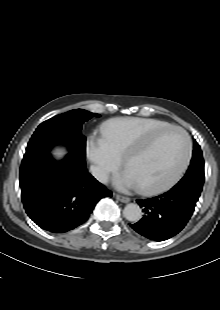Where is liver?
Returning <instances> with one entry per match:
<instances>
[{"label":"liver","instance_id":"6515ba94","mask_svg":"<svg viewBox=\"0 0 220 310\" xmlns=\"http://www.w3.org/2000/svg\"><path fill=\"white\" fill-rule=\"evenodd\" d=\"M64 153V150L57 149L54 154L60 158L64 155Z\"/></svg>","mask_w":220,"mask_h":310}]
</instances>
